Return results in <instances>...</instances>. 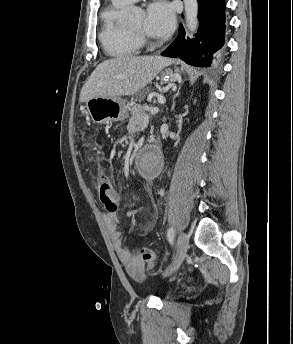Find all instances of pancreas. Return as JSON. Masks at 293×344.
I'll return each instance as SVG.
<instances>
[{"instance_id":"pancreas-1","label":"pancreas","mask_w":293,"mask_h":344,"mask_svg":"<svg viewBox=\"0 0 293 344\" xmlns=\"http://www.w3.org/2000/svg\"><path fill=\"white\" fill-rule=\"evenodd\" d=\"M131 114L130 124L141 126L146 115L145 110L140 105L135 104L131 109Z\"/></svg>"}]
</instances>
